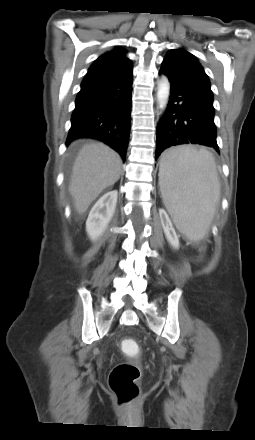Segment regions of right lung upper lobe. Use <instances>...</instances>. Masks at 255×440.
I'll return each instance as SVG.
<instances>
[{
    "mask_svg": "<svg viewBox=\"0 0 255 440\" xmlns=\"http://www.w3.org/2000/svg\"><path fill=\"white\" fill-rule=\"evenodd\" d=\"M125 53L123 49L116 48L100 56L89 68L81 85L106 78L131 66L132 64L125 57Z\"/></svg>",
    "mask_w": 255,
    "mask_h": 440,
    "instance_id": "right-lung-upper-lobe-1",
    "label": "right lung upper lobe"
}]
</instances>
